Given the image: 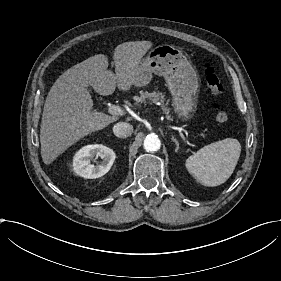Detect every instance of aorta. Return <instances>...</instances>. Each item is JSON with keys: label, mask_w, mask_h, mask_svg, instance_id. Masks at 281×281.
I'll list each match as a JSON object with an SVG mask.
<instances>
[{"label": "aorta", "mask_w": 281, "mask_h": 281, "mask_svg": "<svg viewBox=\"0 0 281 281\" xmlns=\"http://www.w3.org/2000/svg\"><path fill=\"white\" fill-rule=\"evenodd\" d=\"M161 142L157 135H148L144 140V149L147 152H155L160 149Z\"/></svg>", "instance_id": "762f6f07"}]
</instances>
